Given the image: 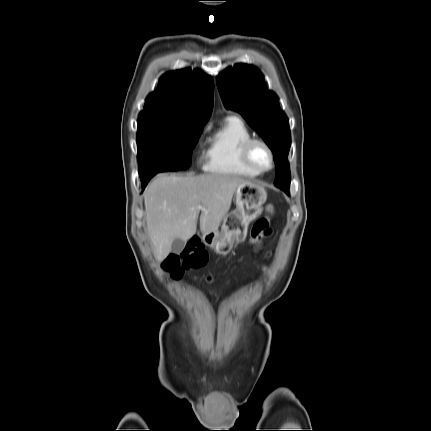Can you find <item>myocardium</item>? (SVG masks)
<instances>
[{"mask_svg":"<svg viewBox=\"0 0 431 431\" xmlns=\"http://www.w3.org/2000/svg\"><path fill=\"white\" fill-rule=\"evenodd\" d=\"M257 144L262 145L267 150V152L269 153L270 164L266 168L259 167L258 165H256L253 162V160L251 158V150H252L253 146L257 145ZM241 159L246 166H248L249 168H251L252 170H254L260 174L266 173V172L272 170L275 166V154H274L273 149L265 140L260 139V138H250L244 142V144L242 145V148H241Z\"/></svg>","mask_w":431,"mask_h":431,"instance_id":"obj_1","label":"myocardium"}]
</instances>
